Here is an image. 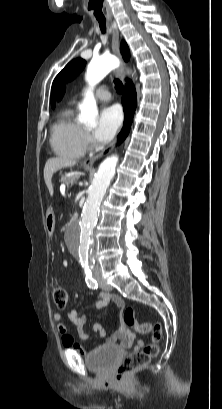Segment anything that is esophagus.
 Listing matches in <instances>:
<instances>
[{
  "mask_svg": "<svg viewBox=\"0 0 222 409\" xmlns=\"http://www.w3.org/2000/svg\"><path fill=\"white\" fill-rule=\"evenodd\" d=\"M111 31H112V51L114 54L119 55L118 48H119L120 39H119L118 27L115 22L112 23L111 25ZM116 75L125 84V76H124L122 67L117 68ZM115 143L116 141L112 145L105 148L102 152L98 153L97 155L85 159V161L83 162V165L85 167L91 168L96 160L100 159L103 155L108 154L113 149Z\"/></svg>",
  "mask_w": 222,
  "mask_h": 409,
  "instance_id": "1",
  "label": "esophagus"
}]
</instances>
